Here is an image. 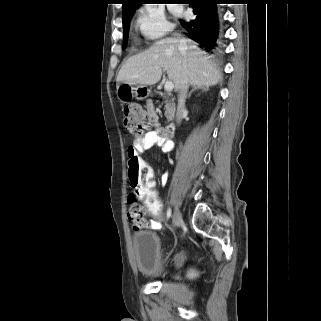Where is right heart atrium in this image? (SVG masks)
Returning a JSON list of instances; mask_svg holds the SVG:
<instances>
[{
  "mask_svg": "<svg viewBox=\"0 0 321 321\" xmlns=\"http://www.w3.org/2000/svg\"><path fill=\"white\" fill-rule=\"evenodd\" d=\"M136 26L144 37L151 40L159 39L173 29L172 24L166 18L164 10L152 4L145 5L139 9Z\"/></svg>",
  "mask_w": 321,
  "mask_h": 321,
  "instance_id": "obj_1",
  "label": "right heart atrium"
}]
</instances>
